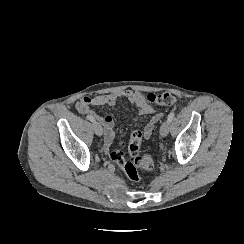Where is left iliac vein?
<instances>
[{
  "label": "left iliac vein",
  "instance_id": "1",
  "mask_svg": "<svg viewBox=\"0 0 244 244\" xmlns=\"http://www.w3.org/2000/svg\"><path fill=\"white\" fill-rule=\"evenodd\" d=\"M170 123L168 120L164 121L160 127V135L162 137L167 136L168 132H169V128H170Z\"/></svg>",
  "mask_w": 244,
  "mask_h": 244
}]
</instances>
